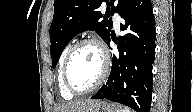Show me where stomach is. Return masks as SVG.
<instances>
[{
	"label": "stomach",
	"instance_id": "stomach-1",
	"mask_svg": "<svg viewBox=\"0 0 193 112\" xmlns=\"http://www.w3.org/2000/svg\"><path fill=\"white\" fill-rule=\"evenodd\" d=\"M82 112H114V109L107 102L98 100Z\"/></svg>",
	"mask_w": 193,
	"mask_h": 112
}]
</instances>
